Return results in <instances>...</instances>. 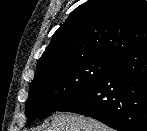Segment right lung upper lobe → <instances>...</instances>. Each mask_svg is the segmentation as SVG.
<instances>
[{
  "mask_svg": "<svg viewBox=\"0 0 147 131\" xmlns=\"http://www.w3.org/2000/svg\"><path fill=\"white\" fill-rule=\"evenodd\" d=\"M146 42L145 0H88L56 31L35 75L90 57L117 61Z\"/></svg>",
  "mask_w": 147,
  "mask_h": 131,
  "instance_id": "obj_1",
  "label": "right lung upper lobe"
}]
</instances>
